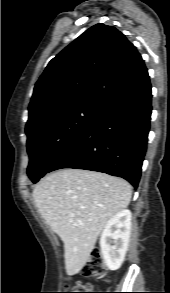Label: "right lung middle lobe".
I'll return each mask as SVG.
<instances>
[{
	"label": "right lung middle lobe",
	"instance_id": "dd1d6c3e",
	"mask_svg": "<svg viewBox=\"0 0 170 293\" xmlns=\"http://www.w3.org/2000/svg\"><path fill=\"white\" fill-rule=\"evenodd\" d=\"M101 105L80 104L26 129L28 176L36 183L54 161L90 126Z\"/></svg>",
	"mask_w": 170,
	"mask_h": 293
}]
</instances>
